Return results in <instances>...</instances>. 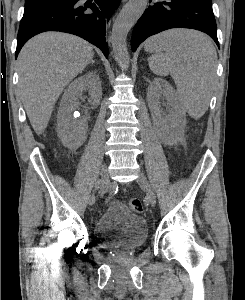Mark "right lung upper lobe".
<instances>
[{"label": "right lung upper lobe", "instance_id": "right-lung-upper-lobe-1", "mask_svg": "<svg viewBox=\"0 0 245 300\" xmlns=\"http://www.w3.org/2000/svg\"><path fill=\"white\" fill-rule=\"evenodd\" d=\"M34 1V0H25V2Z\"/></svg>", "mask_w": 245, "mask_h": 300}]
</instances>
